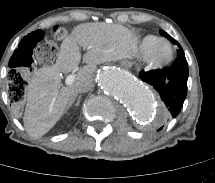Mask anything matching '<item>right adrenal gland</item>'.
I'll return each mask as SVG.
<instances>
[{"instance_id":"obj_1","label":"right adrenal gland","mask_w":215,"mask_h":183,"mask_svg":"<svg viewBox=\"0 0 215 183\" xmlns=\"http://www.w3.org/2000/svg\"><path fill=\"white\" fill-rule=\"evenodd\" d=\"M80 100H81V95L78 97L77 102H76V106H78L80 104Z\"/></svg>"}]
</instances>
